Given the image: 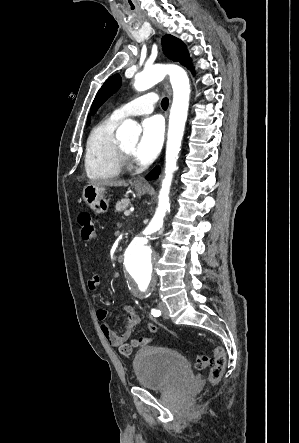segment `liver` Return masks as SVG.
<instances>
[{
  "mask_svg": "<svg viewBox=\"0 0 299 443\" xmlns=\"http://www.w3.org/2000/svg\"><path fill=\"white\" fill-rule=\"evenodd\" d=\"M89 184L96 186H111V187L128 186V183L124 180H93L90 181Z\"/></svg>",
  "mask_w": 299,
  "mask_h": 443,
  "instance_id": "1",
  "label": "liver"
}]
</instances>
